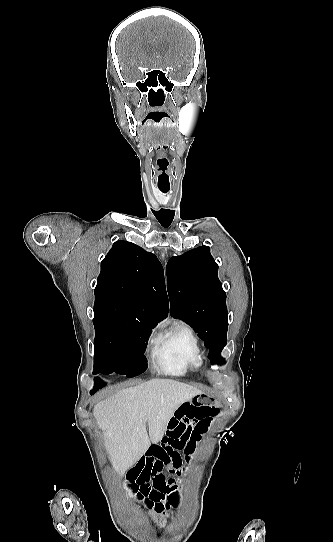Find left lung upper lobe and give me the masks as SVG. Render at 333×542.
<instances>
[{"mask_svg":"<svg viewBox=\"0 0 333 542\" xmlns=\"http://www.w3.org/2000/svg\"><path fill=\"white\" fill-rule=\"evenodd\" d=\"M167 288L171 316L189 322L209 348L212 364H223L220 353L228 330L226 293L210 248L201 246L170 258Z\"/></svg>","mask_w":333,"mask_h":542,"instance_id":"obj_1","label":"left lung upper lobe"}]
</instances>
